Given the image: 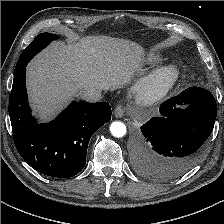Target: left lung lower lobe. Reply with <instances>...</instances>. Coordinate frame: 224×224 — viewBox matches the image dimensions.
Segmentation results:
<instances>
[{
	"label": "left lung lower lobe",
	"instance_id": "1",
	"mask_svg": "<svg viewBox=\"0 0 224 224\" xmlns=\"http://www.w3.org/2000/svg\"><path fill=\"white\" fill-rule=\"evenodd\" d=\"M216 101L204 88L190 87L160 106V115L140 127L136 170L156 180L175 178L200 159L216 119Z\"/></svg>",
	"mask_w": 224,
	"mask_h": 224
}]
</instances>
